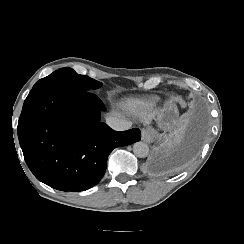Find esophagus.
Masks as SVG:
<instances>
[{"instance_id": "1", "label": "esophagus", "mask_w": 244, "mask_h": 244, "mask_svg": "<svg viewBox=\"0 0 244 244\" xmlns=\"http://www.w3.org/2000/svg\"><path fill=\"white\" fill-rule=\"evenodd\" d=\"M142 139L147 143H152L154 139L152 138V128L146 127L141 130Z\"/></svg>"}]
</instances>
